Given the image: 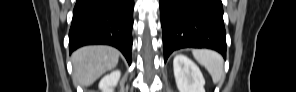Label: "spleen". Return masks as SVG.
<instances>
[{"instance_id":"3e777b00","label":"spleen","mask_w":296,"mask_h":92,"mask_svg":"<svg viewBox=\"0 0 296 92\" xmlns=\"http://www.w3.org/2000/svg\"><path fill=\"white\" fill-rule=\"evenodd\" d=\"M194 58L210 73L213 82L218 83L223 75V58L215 51L195 49L192 51Z\"/></svg>"}]
</instances>
